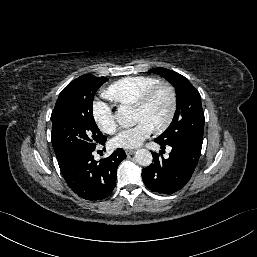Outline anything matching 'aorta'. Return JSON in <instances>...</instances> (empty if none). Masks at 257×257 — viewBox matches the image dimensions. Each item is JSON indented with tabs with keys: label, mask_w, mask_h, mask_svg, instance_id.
Masks as SVG:
<instances>
[{
	"label": "aorta",
	"mask_w": 257,
	"mask_h": 257,
	"mask_svg": "<svg viewBox=\"0 0 257 257\" xmlns=\"http://www.w3.org/2000/svg\"><path fill=\"white\" fill-rule=\"evenodd\" d=\"M115 118L117 123L122 127H130L134 124L133 112L130 107H120ZM136 162L142 166H149L152 163L153 157L150 151L147 149H138L135 152Z\"/></svg>",
	"instance_id": "1"
}]
</instances>
